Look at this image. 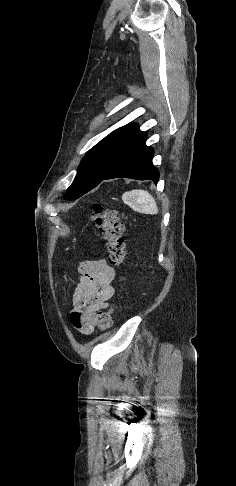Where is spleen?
I'll return each instance as SVG.
<instances>
[{
  "instance_id": "spleen-1",
  "label": "spleen",
  "mask_w": 236,
  "mask_h": 486,
  "mask_svg": "<svg viewBox=\"0 0 236 486\" xmlns=\"http://www.w3.org/2000/svg\"><path fill=\"white\" fill-rule=\"evenodd\" d=\"M125 204L130 206L134 211L145 214H157L158 207L153 196L144 190H132L125 192L122 196Z\"/></svg>"
}]
</instances>
